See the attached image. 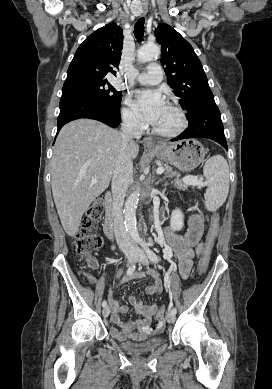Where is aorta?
Masks as SVG:
<instances>
[{"instance_id": "762f6f07", "label": "aorta", "mask_w": 272, "mask_h": 389, "mask_svg": "<svg viewBox=\"0 0 272 389\" xmlns=\"http://www.w3.org/2000/svg\"><path fill=\"white\" fill-rule=\"evenodd\" d=\"M160 47L156 44H146L137 50V59L139 62H148L157 59L160 55ZM140 193L138 190L132 192L127 198L124 206V224L126 231L133 241H140L137 230L136 209Z\"/></svg>"}]
</instances>
